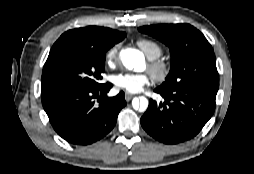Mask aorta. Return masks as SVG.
Wrapping results in <instances>:
<instances>
[{
    "label": "aorta",
    "instance_id": "aorta-1",
    "mask_svg": "<svg viewBox=\"0 0 254 174\" xmlns=\"http://www.w3.org/2000/svg\"><path fill=\"white\" fill-rule=\"evenodd\" d=\"M120 58L124 66L133 70L139 67L143 62V54L135 49H125L120 53ZM132 106L135 110L145 111L148 107V100L145 97L134 98L132 101Z\"/></svg>",
    "mask_w": 254,
    "mask_h": 174
}]
</instances>
